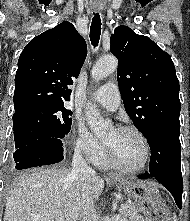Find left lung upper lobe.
<instances>
[{"label": "left lung upper lobe", "instance_id": "5c2ea615", "mask_svg": "<svg viewBox=\"0 0 190 221\" xmlns=\"http://www.w3.org/2000/svg\"><path fill=\"white\" fill-rule=\"evenodd\" d=\"M117 79L127 114L147 138L163 126L180 127L179 81L170 55L146 36L119 26L111 35Z\"/></svg>", "mask_w": 190, "mask_h": 221}]
</instances>
